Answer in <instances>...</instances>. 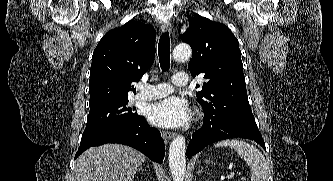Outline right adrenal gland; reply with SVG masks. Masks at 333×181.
I'll use <instances>...</instances> for the list:
<instances>
[{"mask_svg":"<svg viewBox=\"0 0 333 181\" xmlns=\"http://www.w3.org/2000/svg\"><path fill=\"white\" fill-rule=\"evenodd\" d=\"M144 171H146L145 169H143V168H140L139 169V172L142 174Z\"/></svg>","mask_w":333,"mask_h":181,"instance_id":"right-adrenal-gland-1","label":"right adrenal gland"}]
</instances>
